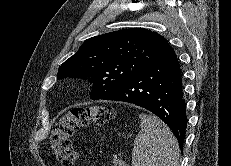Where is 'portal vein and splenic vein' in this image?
<instances>
[{"label":"portal vein and splenic vein","mask_w":231,"mask_h":166,"mask_svg":"<svg viewBox=\"0 0 231 166\" xmlns=\"http://www.w3.org/2000/svg\"><path fill=\"white\" fill-rule=\"evenodd\" d=\"M116 161L120 164V166H127V164L123 161V160H121V159H116Z\"/></svg>","instance_id":"18ae733b"}]
</instances>
